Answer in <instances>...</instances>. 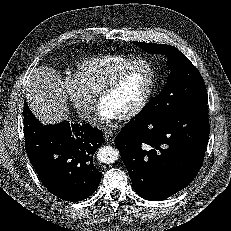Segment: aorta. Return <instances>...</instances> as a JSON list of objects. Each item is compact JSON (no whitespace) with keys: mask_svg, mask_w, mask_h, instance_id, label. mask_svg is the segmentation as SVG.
<instances>
[{"mask_svg":"<svg viewBox=\"0 0 231 231\" xmlns=\"http://www.w3.org/2000/svg\"><path fill=\"white\" fill-rule=\"evenodd\" d=\"M118 157L119 151L112 146L101 147L97 152L98 160L106 164L114 163Z\"/></svg>","mask_w":231,"mask_h":231,"instance_id":"aorta-1","label":"aorta"}]
</instances>
